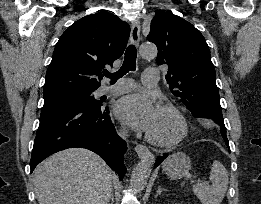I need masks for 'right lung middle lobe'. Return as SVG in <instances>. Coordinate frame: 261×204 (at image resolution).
I'll return each instance as SVG.
<instances>
[{
  "mask_svg": "<svg viewBox=\"0 0 261 204\" xmlns=\"http://www.w3.org/2000/svg\"><path fill=\"white\" fill-rule=\"evenodd\" d=\"M94 91H66L46 94L44 95V106L76 101L96 102L93 97Z\"/></svg>",
  "mask_w": 261,
  "mask_h": 204,
  "instance_id": "1",
  "label": "right lung middle lobe"
}]
</instances>
